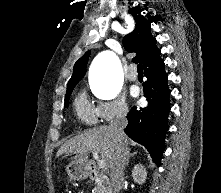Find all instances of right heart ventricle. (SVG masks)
Segmentation results:
<instances>
[{
  "label": "right heart ventricle",
  "instance_id": "1",
  "mask_svg": "<svg viewBox=\"0 0 221 193\" xmlns=\"http://www.w3.org/2000/svg\"><path fill=\"white\" fill-rule=\"evenodd\" d=\"M74 109L78 119L87 125L95 124L98 117L96 108L84 94L79 95L74 101Z\"/></svg>",
  "mask_w": 221,
  "mask_h": 193
}]
</instances>
